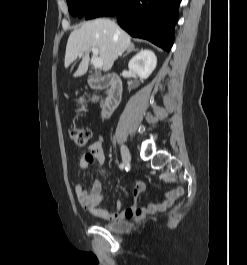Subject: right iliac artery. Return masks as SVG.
<instances>
[{
	"label": "right iliac artery",
	"mask_w": 247,
	"mask_h": 265,
	"mask_svg": "<svg viewBox=\"0 0 247 265\" xmlns=\"http://www.w3.org/2000/svg\"><path fill=\"white\" fill-rule=\"evenodd\" d=\"M120 168L123 169L124 168V164H120Z\"/></svg>",
	"instance_id": "1"
}]
</instances>
